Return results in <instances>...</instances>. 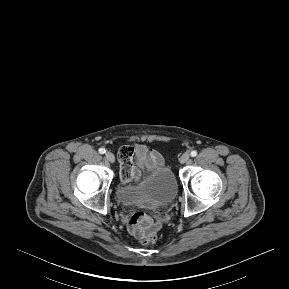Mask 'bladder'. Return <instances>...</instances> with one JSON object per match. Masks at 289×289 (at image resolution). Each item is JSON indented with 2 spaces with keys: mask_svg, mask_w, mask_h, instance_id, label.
<instances>
[{
  "mask_svg": "<svg viewBox=\"0 0 289 289\" xmlns=\"http://www.w3.org/2000/svg\"><path fill=\"white\" fill-rule=\"evenodd\" d=\"M139 166L145 176L139 185H121L115 197L125 206L146 205L164 207L173 202L177 195V181L166 164H149L140 154Z\"/></svg>",
  "mask_w": 289,
  "mask_h": 289,
  "instance_id": "obj_1",
  "label": "bladder"
}]
</instances>
